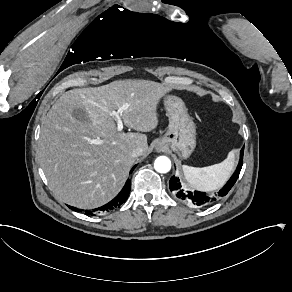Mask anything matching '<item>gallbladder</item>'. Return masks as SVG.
Returning <instances> with one entry per match:
<instances>
[{
    "label": "gallbladder",
    "instance_id": "obj_1",
    "mask_svg": "<svg viewBox=\"0 0 292 292\" xmlns=\"http://www.w3.org/2000/svg\"><path fill=\"white\" fill-rule=\"evenodd\" d=\"M75 117L79 120H86L85 112L81 109H77L75 112Z\"/></svg>",
    "mask_w": 292,
    "mask_h": 292
}]
</instances>
